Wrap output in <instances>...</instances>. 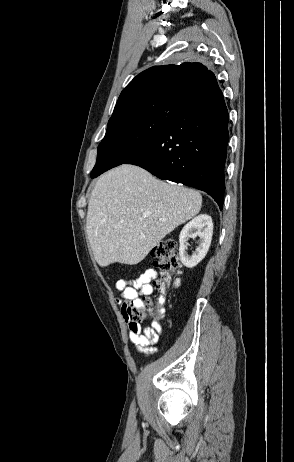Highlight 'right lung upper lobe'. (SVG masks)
<instances>
[{
	"instance_id": "cb5924a9",
	"label": "right lung upper lobe",
	"mask_w": 294,
	"mask_h": 462,
	"mask_svg": "<svg viewBox=\"0 0 294 462\" xmlns=\"http://www.w3.org/2000/svg\"><path fill=\"white\" fill-rule=\"evenodd\" d=\"M217 82L213 72L201 63L151 67L138 74L121 92L114 112L137 102L169 93L197 94Z\"/></svg>"
}]
</instances>
